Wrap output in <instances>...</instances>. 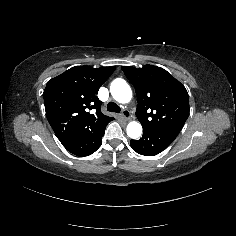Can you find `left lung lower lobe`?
Segmentation results:
<instances>
[{"label":"left lung lower lobe","instance_id":"1","mask_svg":"<svg viewBox=\"0 0 236 236\" xmlns=\"http://www.w3.org/2000/svg\"><path fill=\"white\" fill-rule=\"evenodd\" d=\"M176 138V135L153 132L143 129V136L139 140H131L132 149L146 156H154L166 149Z\"/></svg>","mask_w":236,"mask_h":236}]
</instances>
